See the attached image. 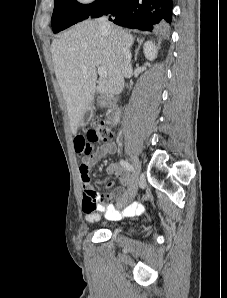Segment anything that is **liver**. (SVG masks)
<instances>
[{
	"mask_svg": "<svg viewBox=\"0 0 227 298\" xmlns=\"http://www.w3.org/2000/svg\"><path fill=\"white\" fill-rule=\"evenodd\" d=\"M104 33L97 20H85L59 34L51 45L55 75L67 105L71 131L76 135L94 93L118 95L124 88L118 47L130 49L134 38L119 27ZM108 77L97 80L96 67Z\"/></svg>",
	"mask_w": 227,
	"mask_h": 298,
	"instance_id": "obj_1",
	"label": "liver"
}]
</instances>
